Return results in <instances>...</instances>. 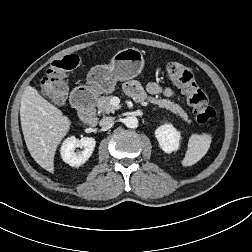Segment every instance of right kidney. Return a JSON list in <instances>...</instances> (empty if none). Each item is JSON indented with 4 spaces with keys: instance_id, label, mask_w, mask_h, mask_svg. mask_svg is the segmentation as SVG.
I'll use <instances>...</instances> for the list:
<instances>
[{
    "instance_id": "right-kidney-1",
    "label": "right kidney",
    "mask_w": 252,
    "mask_h": 252,
    "mask_svg": "<svg viewBox=\"0 0 252 252\" xmlns=\"http://www.w3.org/2000/svg\"><path fill=\"white\" fill-rule=\"evenodd\" d=\"M96 141L93 138L84 137L80 140L75 137L67 138L60 149L63 161L72 167L83 165L92 155ZM83 148L80 152H75L76 148Z\"/></svg>"
}]
</instances>
